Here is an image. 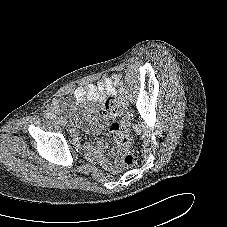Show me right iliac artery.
<instances>
[{
  "mask_svg": "<svg viewBox=\"0 0 227 227\" xmlns=\"http://www.w3.org/2000/svg\"><path fill=\"white\" fill-rule=\"evenodd\" d=\"M46 117L49 119H53L55 117V115L53 113H47Z\"/></svg>",
  "mask_w": 227,
  "mask_h": 227,
  "instance_id": "82829eb1",
  "label": "right iliac artery"
}]
</instances>
